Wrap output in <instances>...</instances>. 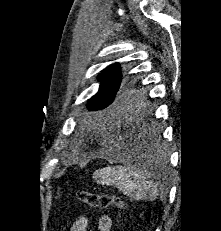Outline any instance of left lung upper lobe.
Wrapping results in <instances>:
<instances>
[{
  "label": "left lung upper lobe",
  "instance_id": "5c2ea615",
  "mask_svg": "<svg viewBox=\"0 0 221 231\" xmlns=\"http://www.w3.org/2000/svg\"><path fill=\"white\" fill-rule=\"evenodd\" d=\"M121 79L118 63L104 69L98 77L101 82L99 91L89 100L87 107L90 110L118 111L129 102H138L139 89L131 79H127L123 84Z\"/></svg>",
  "mask_w": 221,
  "mask_h": 231
}]
</instances>
